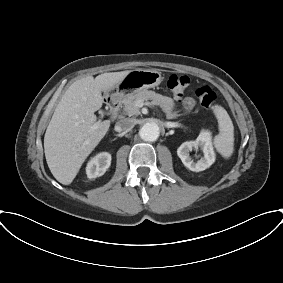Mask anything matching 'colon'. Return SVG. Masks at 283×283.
Returning a JSON list of instances; mask_svg holds the SVG:
<instances>
[{
	"mask_svg": "<svg viewBox=\"0 0 283 283\" xmlns=\"http://www.w3.org/2000/svg\"><path fill=\"white\" fill-rule=\"evenodd\" d=\"M190 79L187 76L172 75L168 78L167 87L174 96H181L189 87ZM195 95L200 101V104L211 109L216 101L215 92L208 86H200L195 89Z\"/></svg>",
	"mask_w": 283,
	"mask_h": 283,
	"instance_id": "colon-1",
	"label": "colon"
}]
</instances>
